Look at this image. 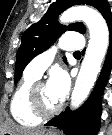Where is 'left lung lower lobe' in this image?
Segmentation results:
<instances>
[{"mask_svg": "<svg viewBox=\"0 0 112 135\" xmlns=\"http://www.w3.org/2000/svg\"><path fill=\"white\" fill-rule=\"evenodd\" d=\"M110 31L108 54L97 84L87 101L76 111L69 108L47 122L46 126L63 129L66 135H97L100 127L101 100L112 66V17L107 20Z\"/></svg>", "mask_w": 112, "mask_h": 135, "instance_id": "0a47b994", "label": "left lung lower lobe"}]
</instances>
